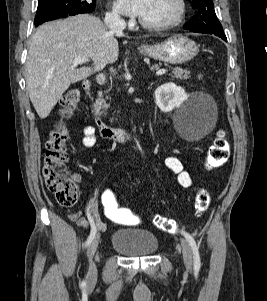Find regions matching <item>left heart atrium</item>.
I'll list each match as a JSON object with an SVG mask.
<instances>
[{
    "label": "left heart atrium",
    "instance_id": "obj_1",
    "mask_svg": "<svg viewBox=\"0 0 267 301\" xmlns=\"http://www.w3.org/2000/svg\"><path fill=\"white\" fill-rule=\"evenodd\" d=\"M119 9L130 16L140 17L147 5V0H117Z\"/></svg>",
    "mask_w": 267,
    "mask_h": 301
}]
</instances>
